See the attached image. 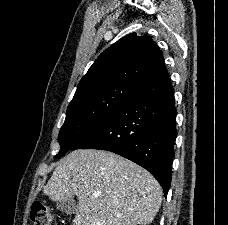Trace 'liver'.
I'll use <instances>...</instances> for the list:
<instances>
[{
    "label": "liver",
    "mask_w": 228,
    "mask_h": 225,
    "mask_svg": "<svg viewBox=\"0 0 228 225\" xmlns=\"http://www.w3.org/2000/svg\"><path fill=\"white\" fill-rule=\"evenodd\" d=\"M43 191L52 201L76 195L74 225H150L163 195L148 171L96 149H78L61 159Z\"/></svg>",
    "instance_id": "1"
}]
</instances>
